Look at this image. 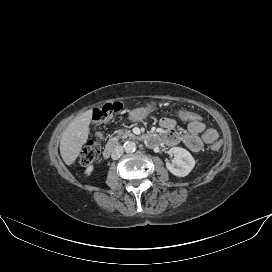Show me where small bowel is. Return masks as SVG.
<instances>
[{
    "label": "small bowel",
    "instance_id": "1",
    "mask_svg": "<svg viewBox=\"0 0 272 272\" xmlns=\"http://www.w3.org/2000/svg\"><path fill=\"white\" fill-rule=\"evenodd\" d=\"M159 125L164 129L163 140L168 145H176L183 142L191 151L198 152L204 143L211 144L218 138L217 132L206 126L202 121H189L185 132L176 129L175 119L163 117Z\"/></svg>",
    "mask_w": 272,
    "mask_h": 272
}]
</instances>
